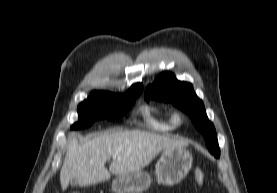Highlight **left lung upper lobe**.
Segmentation results:
<instances>
[{"instance_id":"left-lung-upper-lobe-1","label":"left lung upper lobe","mask_w":277,"mask_h":193,"mask_svg":"<svg viewBox=\"0 0 277 193\" xmlns=\"http://www.w3.org/2000/svg\"><path fill=\"white\" fill-rule=\"evenodd\" d=\"M144 97L147 101L156 99L171 102L187 113L195 127L204 135L209 151L220 157L217 134L214 125L209 121L204 104L200 100L190 83L178 81L174 74L164 72L158 76L152 85H148Z\"/></svg>"}]
</instances>
